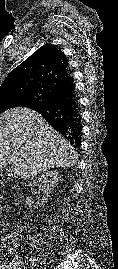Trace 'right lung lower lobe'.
I'll use <instances>...</instances> for the list:
<instances>
[{"label":"right lung lower lobe","instance_id":"98d812e1","mask_svg":"<svg viewBox=\"0 0 118 269\" xmlns=\"http://www.w3.org/2000/svg\"><path fill=\"white\" fill-rule=\"evenodd\" d=\"M29 108L40 113L75 148L80 146L82 117L75 83L55 93L43 103L34 104Z\"/></svg>","mask_w":118,"mask_h":269}]
</instances>
